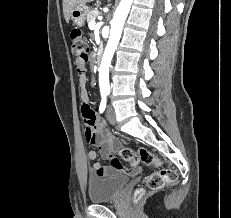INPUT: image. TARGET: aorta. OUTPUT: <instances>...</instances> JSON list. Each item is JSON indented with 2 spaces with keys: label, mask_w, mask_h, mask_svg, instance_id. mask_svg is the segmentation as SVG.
I'll list each match as a JSON object with an SVG mask.
<instances>
[{
  "label": "aorta",
  "mask_w": 231,
  "mask_h": 218,
  "mask_svg": "<svg viewBox=\"0 0 231 218\" xmlns=\"http://www.w3.org/2000/svg\"><path fill=\"white\" fill-rule=\"evenodd\" d=\"M133 0H121L111 21V31L99 68V86L101 91L110 89L109 68L115 49L119 43L125 20Z\"/></svg>",
  "instance_id": "obj_1"
}]
</instances>
